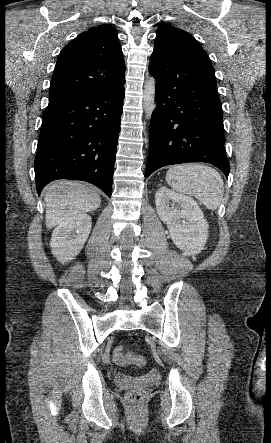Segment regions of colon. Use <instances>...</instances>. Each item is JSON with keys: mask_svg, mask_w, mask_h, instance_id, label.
<instances>
[{"mask_svg": "<svg viewBox=\"0 0 271 443\" xmlns=\"http://www.w3.org/2000/svg\"><path fill=\"white\" fill-rule=\"evenodd\" d=\"M113 360L117 364L123 366H142L145 363V360L142 356L133 353H127L123 346H118L115 348L113 352ZM143 398L144 390L140 387L130 390L127 395V400L131 404H138L143 400Z\"/></svg>", "mask_w": 271, "mask_h": 443, "instance_id": "1", "label": "colon"}]
</instances>
